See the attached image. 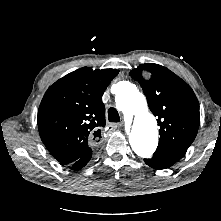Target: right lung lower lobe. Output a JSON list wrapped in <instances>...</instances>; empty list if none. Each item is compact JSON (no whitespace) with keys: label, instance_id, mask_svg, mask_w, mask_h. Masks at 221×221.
<instances>
[{"label":"right lung lower lobe","instance_id":"right-lung-lower-lobe-1","mask_svg":"<svg viewBox=\"0 0 221 221\" xmlns=\"http://www.w3.org/2000/svg\"><path fill=\"white\" fill-rule=\"evenodd\" d=\"M91 155H92V151L87 153L86 155H84L83 157H81L80 159L75 161L74 163H72L70 165L71 169L72 170H79V169L83 168L88 163V161L90 160Z\"/></svg>","mask_w":221,"mask_h":221}]
</instances>
